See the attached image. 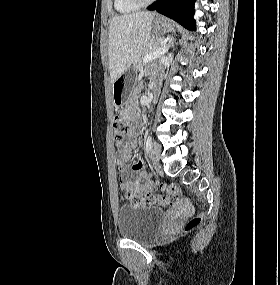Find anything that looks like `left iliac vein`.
<instances>
[{
	"mask_svg": "<svg viewBox=\"0 0 280 285\" xmlns=\"http://www.w3.org/2000/svg\"><path fill=\"white\" fill-rule=\"evenodd\" d=\"M160 152H161L160 145L157 142L153 143L151 148V160L154 166L156 167L159 166Z\"/></svg>",
	"mask_w": 280,
	"mask_h": 285,
	"instance_id": "4c4485c4",
	"label": "left iliac vein"
}]
</instances>
